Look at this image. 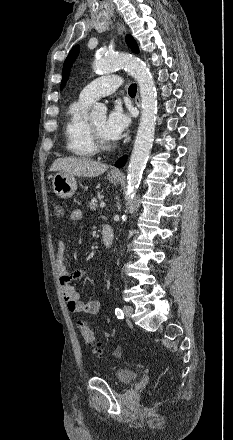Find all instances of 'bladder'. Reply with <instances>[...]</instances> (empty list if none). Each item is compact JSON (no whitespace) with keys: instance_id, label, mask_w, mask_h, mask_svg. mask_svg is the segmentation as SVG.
Returning <instances> with one entry per match:
<instances>
[{"instance_id":"obj_1","label":"bladder","mask_w":233,"mask_h":440,"mask_svg":"<svg viewBox=\"0 0 233 440\" xmlns=\"http://www.w3.org/2000/svg\"><path fill=\"white\" fill-rule=\"evenodd\" d=\"M136 376L137 373L135 370L123 368L116 370L113 377L117 383L128 384L132 382L136 378Z\"/></svg>"}]
</instances>
